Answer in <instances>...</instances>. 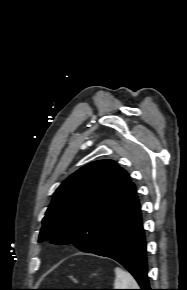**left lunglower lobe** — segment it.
I'll return each mask as SVG.
<instances>
[{"instance_id": "1", "label": "left lung lower lobe", "mask_w": 187, "mask_h": 290, "mask_svg": "<svg viewBox=\"0 0 187 290\" xmlns=\"http://www.w3.org/2000/svg\"><path fill=\"white\" fill-rule=\"evenodd\" d=\"M91 253L116 260L134 276L141 290H152L147 276L146 241L137 196L124 216Z\"/></svg>"}]
</instances>
